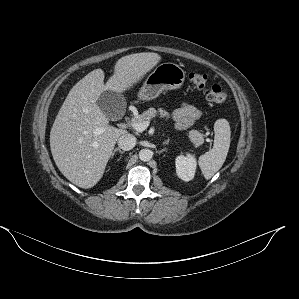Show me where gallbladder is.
<instances>
[{
    "label": "gallbladder",
    "mask_w": 299,
    "mask_h": 299,
    "mask_svg": "<svg viewBox=\"0 0 299 299\" xmlns=\"http://www.w3.org/2000/svg\"><path fill=\"white\" fill-rule=\"evenodd\" d=\"M97 106L109 119H120L125 113L126 99L119 92L105 90L99 96Z\"/></svg>",
    "instance_id": "bac80fb5"
}]
</instances>
